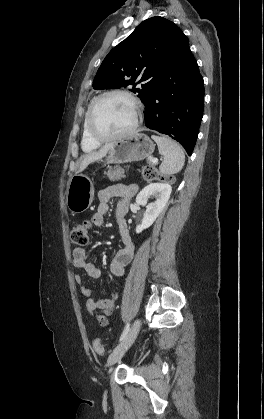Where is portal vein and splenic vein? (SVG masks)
I'll list each match as a JSON object with an SVG mask.
<instances>
[{
    "mask_svg": "<svg viewBox=\"0 0 264 419\" xmlns=\"http://www.w3.org/2000/svg\"><path fill=\"white\" fill-rule=\"evenodd\" d=\"M151 161H152L153 163H158V159H157V158H152V159H151Z\"/></svg>",
    "mask_w": 264,
    "mask_h": 419,
    "instance_id": "portal-vein-and-splenic-vein-1",
    "label": "portal vein and splenic vein"
}]
</instances>
